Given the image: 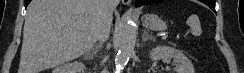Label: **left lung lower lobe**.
<instances>
[{
	"label": "left lung lower lobe",
	"mask_w": 244,
	"mask_h": 73,
	"mask_svg": "<svg viewBox=\"0 0 244 73\" xmlns=\"http://www.w3.org/2000/svg\"><path fill=\"white\" fill-rule=\"evenodd\" d=\"M160 0H136L137 6H142L144 4L148 5ZM201 2L207 4L213 11H215V0H200Z\"/></svg>",
	"instance_id": "1"
}]
</instances>
